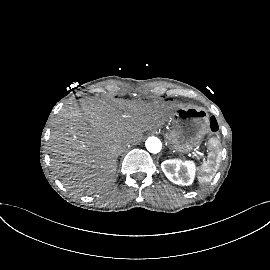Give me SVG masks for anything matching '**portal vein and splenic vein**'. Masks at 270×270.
Listing matches in <instances>:
<instances>
[{"label":"portal vein and splenic vein","instance_id":"18ae733b","mask_svg":"<svg viewBox=\"0 0 270 270\" xmlns=\"http://www.w3.org/2000/svg\"><path fill=\"white\" fill-rule=\"evenodd\" d=\"M197 154H200V155H202L201 153H199V152H197Z\"/></svg>","mask_w":270,"mask_h":270}]
</instances>
